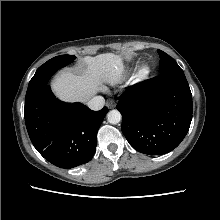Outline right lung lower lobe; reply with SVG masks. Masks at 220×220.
Segmentation results:
<instances>
[{"label":"right lung lower lobe","instance_id":"1","mask_svg":"<svg viewBox=\"0 0 220 220\" xmlns=\"http://www.w3.org/2000/svg\"><path fill=\"white\" fill-rule=\"evenodd\" d=\"M107 107L92 111L81 103H64L45 85L25 98L26 128L36 150L60 168L89 162Z\"/></svg>","mask_w":220,"mask_h":220}]
</instances>
